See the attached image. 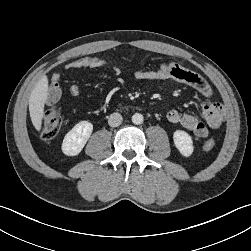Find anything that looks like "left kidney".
I'll return each mask as SVG.
<instances>
[{
    "mask_svg": "<svg viewBox=\"0 0 251 251\" xmlns=\"http://www.w3.org/2000/svg\"><path fill=\"white\" fill-rule=\"evenodd\" d=\"M173 140L176 148L183 156L189 157L193 153V140L187 132L176 130L173 134Z\"/></svg>",
    "mask_w": 251,
    "mask_h": 251,
    "instance_id": "obj_1",
    "label": "left kidney"
}]
</instances>
